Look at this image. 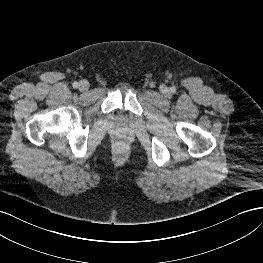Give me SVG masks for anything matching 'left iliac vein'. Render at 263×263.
<instances>
[{
	"label": "left iliac vein",
	"instance_id": "obj_1",
	"mask_svg": "<svg viewBox=\"0 0 263 263\" xmlns=\"http://www.w3.org/2000/svg\"><path fill=\"white\" fill-rule=\"evenodd\" d=\"M162 91H163L164 93H167V92H168L167 88H165V87L162 89Z\"/></svg>",
	"mask_w": 263,
	"mask_h": 263
}]
</instances>
